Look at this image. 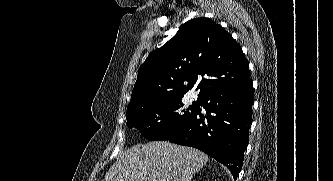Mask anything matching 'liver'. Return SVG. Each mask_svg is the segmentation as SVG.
<instances>
[{
	"mask_svg": "<svg viewBox=\"0 0 333 181\" xmlns=\"http://www.w3.org/2000/svg\"><path fill=\"white\" fill-rule=\"evenodd\" d=\"M208 156L167 141L132 147L108 170L104 181H191Z\"/></svg>",
	"mask_w": 333,
	"mask_h": 181,
	"instance_id": "liver-1",
	"label": "liver"
}]
</instances>
